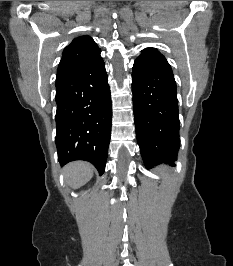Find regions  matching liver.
Instances as JSON below:
<instances>
[{
  "label": "liver",
  "mask_w": 233,
  "mask_h": 266,
  "mask_svg": "<svg viewBox=\"0 0 233 266\" xmlns=\"http://www.w3.org/2000/svg\"><path fill=\"white\" fill-rule=\"evenodd\" d=\"M93 172V166L84 161L71 162L63 169L65 181L73 189L87 183L93 177Z\"/></svg>",
  "instance_id": "1"
}]
</instances>
